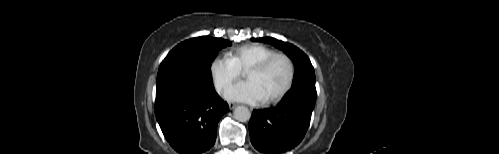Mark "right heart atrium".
Here are the masks:
<instances>
[{
  "mask_svg": "<svg viewBox=\"0 0 499 154\" xmlns=\"http://www.w3.org/2000/svg\"><path fill=\"white\" fill-rule=\"evenodd\" d=\"M209 74L216 91L222 92L242 75V71L227 56H217L210 62Z\"/></svg>",
  "mask_w": 499,
  "mask_h": 154,
  "instance_id": "right-heart-atrium-1",
  "label": "right heart atrium"
}]
</instances>
